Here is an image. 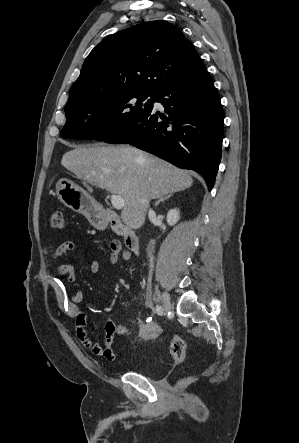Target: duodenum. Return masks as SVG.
I'll return each instance as SVG.
<instances>
[{"label":"duodenum","instance_id":"obj_1","mask_svg":"<svg viewBox=\"0 0 299 443\" xmlns=\"http://www.w3.org/2000/svg\"><path fill=\"white\" fill-rule=\"evenodd\" d=\"M101 224L109 226L116 234L120 235L125 246L134 254L140 251V240L134 231L127 227L120 218L109 210H103Z\"/></svg>","mask_w":299,"mask_h":443}]
</instances>
